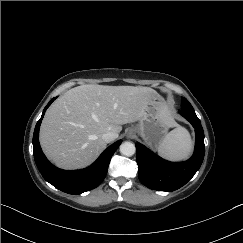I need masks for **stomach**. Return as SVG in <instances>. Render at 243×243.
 Here are the masks:
<instances>
[{"mask_svg": "<svg viewBox=\"0 0 243 243\" xmlns=\"http://www.w3.org/2000/svg\"><path fill=\"white\" fill-rule=\"evenodd\" d=\"M171 126L164 99L153 91L144 115L131 130L138 133L148 146L158 148Z\"/></svg>", "mask_w": 243, "mask_h": 243, "instance_id": "obj_1", "label": "stomach"}]
</instances>
